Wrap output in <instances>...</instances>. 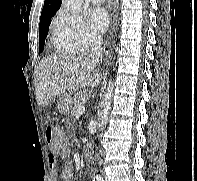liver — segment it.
<instances>
[{
  "instance_id": "obj_1",
  "label": "liver",
  "mask_w": 197,
  "mask_h": 181,
  "mask_svg": "<svg viewBox=\"0 0 197 181\" xmlns=\"http://www.w3.org/2000/svg\"><path fill=\"white\" fill-rule=\"evenodd\" d=\"M101 79L96 63L88 57L66 54L48 56L34 70L37 103L44 107L67 91L96 87Z\"/></svg>"
}]
</instances>
